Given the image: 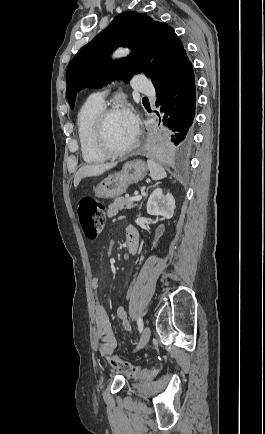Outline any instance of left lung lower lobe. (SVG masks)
Segmentation results:
<instances>
[{"mask_svg": "<svg viewBox=\"0 0 265 434\" xmlns=\"http://www.w3.org/2000/svg\"><path fill=\"white\" fill-rule=\"evenodd\" d=\"M155 89L156 104L160 105V111L164 113L162 122L167 135L154 140L152 148L160 154H183L191 147L195 134L192 124L196 108V86L192 63L187 54L180 58L164 83Z\"/></svg>", "mask_w": 265, "mask_h": 434, "instance_id": "0a47b994", "label": "left lung lower lobe"}]
</instances>
